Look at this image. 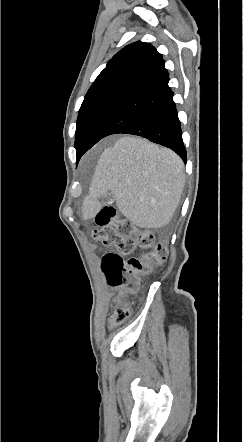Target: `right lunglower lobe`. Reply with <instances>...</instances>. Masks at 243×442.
<instances>
[{
	"label": "right lung lower lobe",
	"instance_id": "obj_1",
	"mask_svg": "<svg viewBox=\"0 0 243 442\" xmlns=\"http://www.w3.org/2000/svg\"><path fill=\"white\" fill-rule=\"evenodd\" d=\"M168 75L166 71L120 100L98 125L86 151L106 136L133 134L172 149L186 163V149Z\"/></svg>",
	"mask_w": 243,
	"mask_h": 442
}]
</instances>
